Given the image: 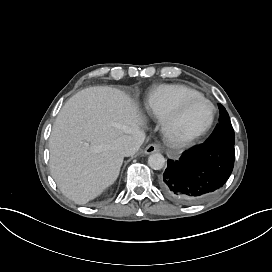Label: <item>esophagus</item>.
Wrapping results in <instances>:
<instances>
[{"instance_id":"1","label":"esophagus","mask_w":272,"mask_h":272,"mask_svg":"<svg viewBox=\"0 0 272 272\" xmlns=\"http://www.w3.org/2000/svg\"><path fill=\"white\" fill-rule=\"evenodd\" d=\"M160 146L158 144H149L146 148H145V151L144 153L146 155H149V154H152V153H155V152H160Z\"/></svg>"}]
</instances>
